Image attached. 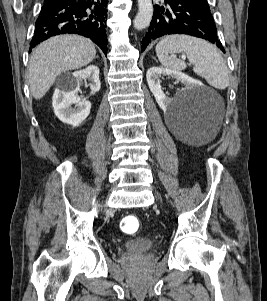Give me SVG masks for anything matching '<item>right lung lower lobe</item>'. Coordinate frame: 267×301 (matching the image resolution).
Wrapping results in <instances>:
<instances>
[{
    "mask_svg": "<svg viewBox=\"0 0 267 301\" xmlns=\"http://www.w3.org/2000/svg\"><path fill=\"white\" fill-rule=\"evenodd\" d=\"M107 3L108 0H55L44 4L29 52L49 37L74 33L90 38L107 55Z\"/></svg>",
    "mask_w": 267,
    "mask_h": 301,
    "instance_id": "right-lung-lower-lobe-1",
    "label": "right lung lower lobe"
}]
</instances>
